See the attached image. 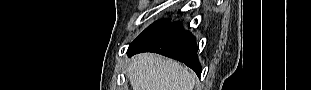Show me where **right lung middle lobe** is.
<instances>
[{"instance_id":"dd1d6c3e","label":"right lung middle lobe","mask_w":311,"mask_h":90,"mask_svg":"<svg viewBox=\"0 0 311 90\" xmlns=\"http://www.w3.org/2000/svg\"><path fill=\"white\" fill-rule=\"evenodd\" d=\"M168 22H169V21L163 20V19L154 22L152 25H150L148 28H146V29L133 41V43L142 40V39H143L144 37H146L147 35L153 33L154 31L158 30V29L161 28L162 26L168 24Z\"/></svg>"}]
</instances>
